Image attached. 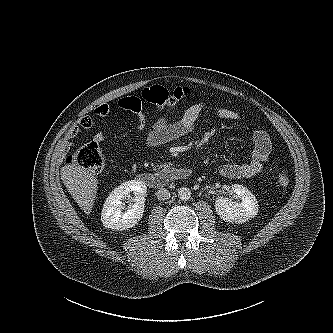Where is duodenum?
<instances>
[{"label":"duodenum","instance_id":"duodenum-1","mask_svg":"<svg viewBox=\"0 0 333 333\" xmlns=\"http://www.w3.org/2000/svg\"><path fill=\"white\" fill-rule=\"evenodd\" d=\"M191 175L192 171L188 167L176 166L164 168L156 172L140 173L137 179L151 188L160 189L174 181L189 179Z\"/></svg>","mask_w":333,"mask_h":333}]
</instances>
